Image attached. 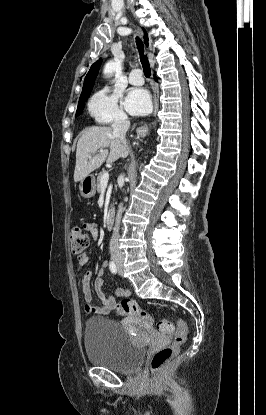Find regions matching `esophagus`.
<instances>
[{
	"mask_svg": "<svg viewBox=\"0 0 266 415\" xmlns=\"http://www.w3.org/2000/svg\"><path fill=\"white\" fill-rule=\"evenodd\" d=\"M158 97H159L158 91H156L154 95V114L156 113L158 109ZM137 133H138V137H144L148 133V128L141 127L137 130Z\"/></svg>",
	"mask_w": 266,
	"mask_h": 415,
	"instance_id": "esophagus-1",
	"label": "esophagus"
}]
</instances>
